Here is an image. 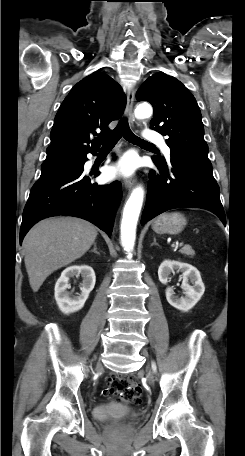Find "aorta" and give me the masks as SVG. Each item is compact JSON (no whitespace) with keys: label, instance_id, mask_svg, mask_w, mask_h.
<instances>
[{"label":"aorta","instance_id":"aorta-1","mask_svg":"<svg viewBox=\"0 0 245 456\" xmlns=\"http://www.w3.org/2000/svg\"><path fill=\"white\" fill-rule=\"evenodd\" d=\"M152 113L153 109L149 103H141L135 109V116L139 119L148 118ZM143 198L144 189L141 185L137 186L132 191L123 210L120 237L122 246L129 253V256L135 244L137 221L143 204Z\"/></svg>","mask_w":245,"mask_h":456}]
</instances>
